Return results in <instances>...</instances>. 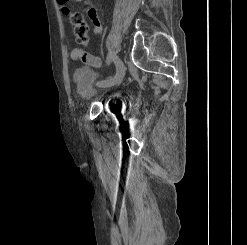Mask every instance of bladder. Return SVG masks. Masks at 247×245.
Wrapping results in <instances>:
<instances>
[{
	"label": "bladder",
	"instance_id": "1",
	"mask_svg": "<svg viewBox=\"0 0 247 245\" xmlns=\"http://www.w3.org/2000/svg\"><path fill=\"white\" fill-rule=\"evenodd\" d=\"M96 73L90 68L78 69L74 74L77 85V93L81 101L92 102L98 98L114 102L120 97V92L114 89L101 90L97 88Z\"/></svg>",
	"mask_w": 247,
	"mask_h": 245
}]
</instances>
